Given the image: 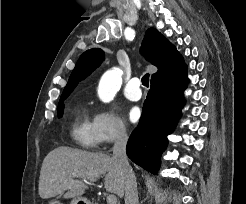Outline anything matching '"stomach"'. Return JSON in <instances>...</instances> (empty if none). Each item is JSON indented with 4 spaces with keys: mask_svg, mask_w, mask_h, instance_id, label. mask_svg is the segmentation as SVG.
Masks as SVG:
<instances>
[{
    "mask_svg": "<svg viewBox=\"0 0 246 204\" xmlns=\"http://www.w3.org/2000/svg\"><path fill=\"white\" fill-rule=\"evenodd\" d=\"M51 204H61L58 201H53ZM70 204H91V202L85 197L74 198Z\"/></svg>",
    "mask_w": 246,
    "mask_h": 204,
    "instance_id": "obj_1",
    "label": "stomach"
}]
</instances>
